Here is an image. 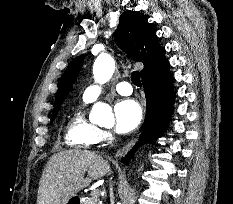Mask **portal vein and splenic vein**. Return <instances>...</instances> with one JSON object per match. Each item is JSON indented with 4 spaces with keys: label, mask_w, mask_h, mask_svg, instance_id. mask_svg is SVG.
<instances>
[{
    "label": "portal vein and splenic vein",
    "mask_w": 233,
    "mask_h": 204,
    "mask_svg": "<svg viewBox=\"0 0 233 204\" xmlns=\"http://www.w3.org/2000/svg\"><path fill=\"white\" fill-rule=\"evenodd\" d=\"M91 195L94 196V197H98L100 195V190L99 189L93 190Z\"/></svg>",
    "instance_id": "portal-vein-and-splenic-vein-1"
}]
</instances>
